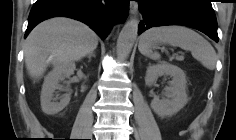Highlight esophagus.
<instances>
[{"instance_id": "1", "label": "esophagus", "mask_w": 236, "mask_h": 140, "mask_svg": "<svg viewBox=\"0 0 236 140\" xmlns=\"http://www.w3.org/2000/svg\"><path fill=\"white\" fill-rule=\"evenodd\" d=\"M138 12V3L136 1H130V14L136 15Z\"/></svg>"}]
</instances>
